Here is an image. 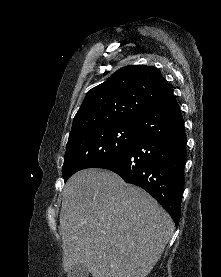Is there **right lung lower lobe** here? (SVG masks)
I'll list each match as a JSON object with an SVG mask.
<instances>
[{
  "mask_svg": "<svg viewBox=\"0 0 221 277\" xmlns=\"http://www.w3.org/2000/svg\"><path fill=\"white\" fill-rule=\"evenodd\" d=\"M136 125L128 150L98 168L111 170L146 190L178 226L187 154L184 122L175 97L142 115Z\"/></svg>",
  "mask_w": 221,
  "mask_h": 277,
  "instance_id": "1",
  "label": "right lung lower lobe"
}]
</instances>
